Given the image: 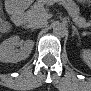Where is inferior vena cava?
Returning <instances> with one entry per match:
<instances>
[{
    "instance_id": "1",
    "label": "inferior vena cava",
    "mask_w": 91,
    "mask_h": 91,
    "mask_svg": "<svg viewBox=\"0 0 91 91\" xmlns=\"http://www.w3.org/2000/svg\"><path fill=\"white\" fill-rule=\"evenodd\" d=\"M45 25V22L43 20H39V21H36V22H31L29 23V28H32V29H38V28H42L44 27Z\"/></svg>"
}]
</instances>
